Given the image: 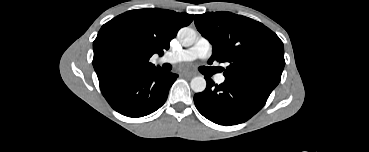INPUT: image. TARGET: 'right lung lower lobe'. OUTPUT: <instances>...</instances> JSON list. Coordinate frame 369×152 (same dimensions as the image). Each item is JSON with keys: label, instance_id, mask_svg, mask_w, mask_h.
<instances>
[{"label": "right lung lower lobe", "instance_id": "obj_1", "mask_svg": "<svg viewBox=\"0 0 369 152\" xmlns=\"http://www.w3.org/2000/svg\"><path fill=\"white\" fill-rule=\"evenodd\" d=\"M177 77L174 73L156 68L123 75L100 88L114 110L136 118L159 109Z\"/></svg>", "mask_w": 369, "mask_h": 152}]
</instances>
